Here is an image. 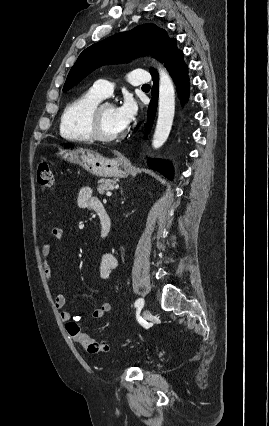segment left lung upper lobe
Wrapping results in <instances>:
<instances>
[{"mask_svg":"<svg viewBox=\"0 0 269 426\" xmlns=\"http://www.w3.org/2000/svg\"><path fill=\"white\" fill-rule=\"evenodd\" d=\"M173 40L156 25L144 24L93 44L79 55L68 74L63 91H68L102 65L124 63L148 54L159 59Z\"/></svg>","mask_w":269,"mask_h":426,"instance_id":"5c2ea615","label":"left lung upper lobe"}]
</instances>
